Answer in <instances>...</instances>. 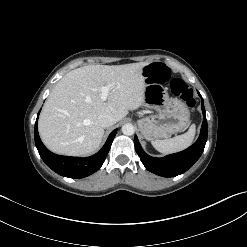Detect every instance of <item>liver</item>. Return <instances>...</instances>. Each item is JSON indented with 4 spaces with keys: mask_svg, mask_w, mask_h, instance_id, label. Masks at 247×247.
<instances>
[{
    "mask_svg": "<svg viewBox=\"0 0 247 247\" xmlns=\"http://www.w3.org/2000/svg\"><path fill=\"white\" fill-rule=\"evenodd\" d=\"M146 65H88L68 72L50 93L39 117L38 130L46 147L69 156L94 153L104 135L99 115L111 114L118 122L144 104ZM104 85H112L108 101L101 100Z\"/></svg>",
    "mask_w": 247,
    "mask_h": 247,
    "instance_id": "1",
    "label": "liver"
}]
</instances>
